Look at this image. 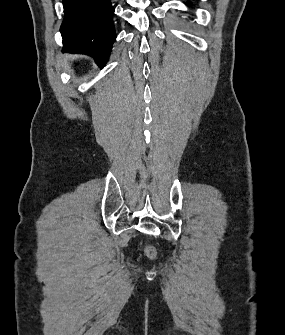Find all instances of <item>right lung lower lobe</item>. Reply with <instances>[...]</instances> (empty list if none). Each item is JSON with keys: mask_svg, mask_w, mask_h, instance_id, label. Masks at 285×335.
Wrapping results in <instances>:
<instances>
[{"mask_svg": "<svg viewBox=\"0 0 285 335\" xmlns=\"http://www.w3.org/2000/svg\"><path fill=\"white\" fill-rule=\"evenodd\" d=\"M63 6V51L89 55L102 68L116 37L111 0H63Z\"/></svg>", "mask_w": 285, "mask_h": 335, "instance_id": "1", "label": "right lung lower lobe"}]
</instances>
